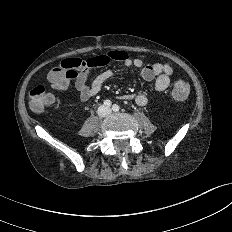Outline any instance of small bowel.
<instances>
[{
	"mask_svg": "<svg viewBox=\"0 0 232 232\" xmlns=\"http://www.w3.org/2000/svg\"><path fill=\"white\" fill-rule=\"evenodd\" d=\"M91 65L85 70L79 72L71 80L55 81L51 77V73L48 74V80L52 88L65 91L70 82L73 81L75 89L77 90L81 101H88L92 97L96 96L104 83L110 78L116 76L118 73L113 69H105L98 74L94 79L89 81L90 69L96 67L106 66L112 61L120 62L126 67H135L141 70V76L146 81H155V89L158 92L165 91L171 83V76L173 74V68L168 63H146L141 58H132L126 51L123 50H111L107 53L90 58ZM51 72V71H50ZM126 100H134L139 106H146L149 102L148 95L146 93L127 94L124 96Z\"/></svg>",
	"mask_w": 232,
	"mask_h": 232,
	"instance_id": "small-bowel-1",
	"label": "small bowel"
}]
</instances>
